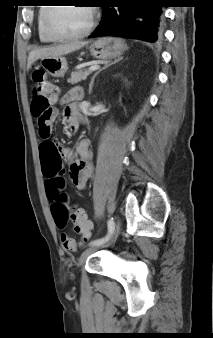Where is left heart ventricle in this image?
Instances as JSON below:
<instances>
[{"label":"left heart ventricle","instance_id":"b2bd125f","mask_svg":"<svg viewBox=\"0 0 213 338\" xmlns=\"http://www.w3.org/2000/svg\"><path fill=\"white\" fill-rule=\"evenodd\" d=\"M90 20V10L85 6H59L50 16V27L53 32L68 35L81 32Z\"/></svg>","mask_w":213,"mask_h":338}]
</instances>
